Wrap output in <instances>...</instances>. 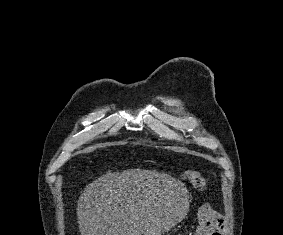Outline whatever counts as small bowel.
<instances>
[{"label": "small bowel", "instance_id": "c3829d8e", "mask_svg": "<svg viewBox=\"0 0 283 235\" xmlns=\"http://www.w3.org/2000/svg\"><path fill=\"white\" fill-rule=\"evenodd\" d=\"M198 222L194 235H221L220 229L223 226V218L210 204L201 207Z\"/></svg>", "mask_w": 283, "mask_h": 235}]
</instances>
